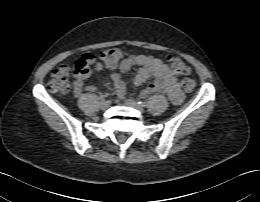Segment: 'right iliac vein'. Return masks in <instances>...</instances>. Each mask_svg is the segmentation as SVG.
<instances>
[{"mask_svg":"<svg viewBox=\"0 0 260 202\" xmlns=\"http://www.w3.org/2000/svg\"><path fill=\"white\" fill-rule=\"evenodd\" d=\"M100 106H101V109L106 110L109 107V103L107 101L103 100L100 103Z\"/></svg>","mask_w":260,"mask_h":202,"instance_id":"63e3f726","label":"right iliac vein"}]
</instances>
